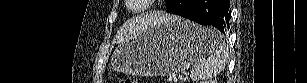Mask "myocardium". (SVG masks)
I'll list each match as a JSON object with an SVG mask.
<instances>
[{
  "instance_id": "1",
  "label": "myocardium",
  "mask_w": 307,
  "mask_h": 83,
  "mask_svg": "<svg viewBox=\"0 0 307 83\" xmlns=\"http://www.w3.org/2000/svg\"><path fill=\"white\" fill-rule=\"evenodd\" d=\"M127 1L130 2V0H127ZM141 7H142V6H139V5H131V6H129V9H130L131 11H133V12H139V11L141 10Z\"/></svg>"
}]
</instances>
